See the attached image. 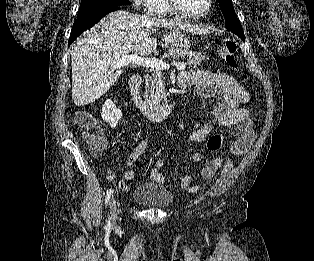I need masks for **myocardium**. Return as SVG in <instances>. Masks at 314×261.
Wrapping results in <instances>:
<instances>
[{"label":"myocardium","instance_id":"f54148a6","mask_svg":"<svg viewBox=\"0 0 314 261\" xmlns=\"http://www.w3.org/2000/svg\"><path fill=\"white\" fill-rule=\"evenodd\" d=\"M167 6L176 14L181 15L183 17L186 18H191V19H199V18H203L206 15H208L210 13V11L212 10L213 7V0H208V5L207 8L205 9V11L201 12V13H190L188 11H186L179 3L178 0H165Z\"/></svg>","mask_w":314,"mask_h":261}]
</instances>
